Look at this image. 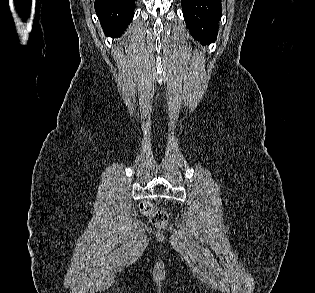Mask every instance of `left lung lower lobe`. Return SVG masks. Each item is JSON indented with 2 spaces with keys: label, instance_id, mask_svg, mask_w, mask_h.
Instances as JSON below:
<instances>
[{
  "label": "left lung lower lobe",
  "instance_id": "0a47b994",
  "mask_svg": "<svg viewBox=\"0 0 315 293\" xmlns=\"http://www.w3.org/2000/svg\"><path fill=\"white\" fill-rule=\"evenodd\" d=\"M181 5L191 35L204 45L215 42L221 14L220 0H181Z\"/></svg>",
  "mask_w": 315,
  "mask_h": 293
}]
</instances>
